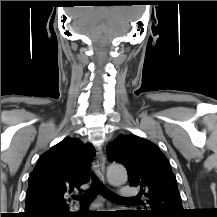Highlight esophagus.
<instances>
[{"mask_svg":"<svg viewBox=\"0 0 217 217\" xmlns=\"http://www.w3.org/2000/svg\"><path fill=\"white\" fill-rule=\"evenodd\" d=\"M105 162L106 157L102 151L99 149L96 155V159L93 163L94 170L101 181L105 180Z\"/></svg>","mask_w":217,"mask_h":217,"instance_id":"esophagus-1","label":"esophagus"}]
</instances>
